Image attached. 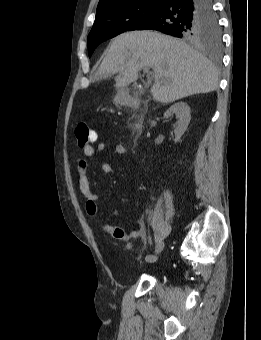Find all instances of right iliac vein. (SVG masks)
Masks as SVG:
<instances>
[{
	"mask_svg": "<svg viewBox=\"0 0 261 340\" xmlns=\"http://www.w3.org/2000/svg\"><path fill=\"white\" fill-rule=\"evenodd\" d=\"M164 248H165V242L160 241L155 248V255L156 256L160 255L163 252Z\"/></svg>",
	"mask_w": 261,
	"mask_h": 340,
	"instance_id": "63e3f726",
	"label": "right iliac vein"
}]
</instances>
